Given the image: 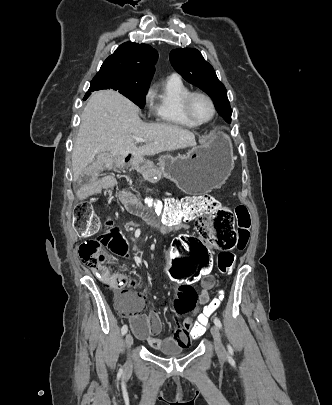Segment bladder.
<instances>
[{
	"instance_id": "31cf9c89",
	"label": "bladder",
	"mask_w": 332,
	"mask_h": 405,
	"mask_svg": "<svg viewBox=\"0 0 332 405\" xmlns=\"http://www.w3.org/2000/svg\"><path fill=\"white\" fill-rule=\"evenodd\" d=\"M161 354L166 356H180L182 355V349L180 348H170L167 350L160 351Z\"/></svg>"
}]
</instances>
